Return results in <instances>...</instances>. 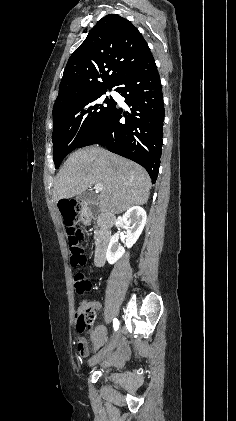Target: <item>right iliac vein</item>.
I'll return each mask as SVG.
<instances>
[{
	"label": "right iliac vein",
	"instance_id": "right-iliac-vein-1",
	"mask_svg": "<svg viewBox=\"0 0 236 421\" xmlns=\"http://www.w3.org/2000/svg\"><path fill=\"white\" fill-rule=\"evenodd\" d=\"M118 337H119V332H117V334L115 335V338L107 345L106 348H104V350H102L100 353L96 354L95 356L91 358L90 364L91 365L97 364L101 360H103L106 356H108L115 348Z\"/></svg>",
	"mask_w": 236,
	"mask_h": 421
}]
</instances>
